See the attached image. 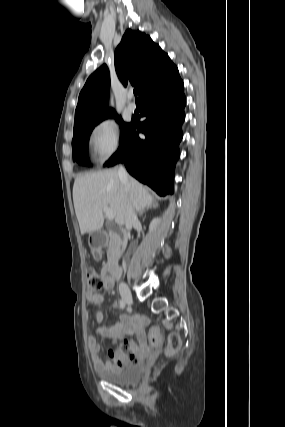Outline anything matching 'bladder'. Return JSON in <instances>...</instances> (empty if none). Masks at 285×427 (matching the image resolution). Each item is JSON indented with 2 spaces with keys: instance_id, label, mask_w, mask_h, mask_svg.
Instances as JSON below:
<instances>
[{
  "instance_id": "1",
  "label": "bladder",
  "mask_w": 285,
  "mask_h": 427,
  "mask_svg": "<svg viewBox=\"0 0 285 427\" xmlns=\"http://www.w3.org/2000/svg\"><path fill=\"white\" fill-rule=\"evenodd\" d=\"M142 372L143 366L137 362L110 371H103L101 376L108 383L127 385L138 381L142 376Z\"/></svg>"
}]
</instances>
